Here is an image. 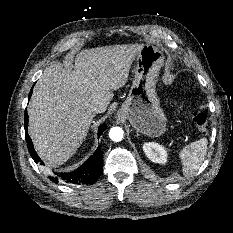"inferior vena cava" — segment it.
<instances>
[{
    "label": "inferior vena cava",
    "mask_w": 233,
    "mask_h": 233,
    "mask_svg": "<svg viewBox=\"0 0 233 233\" xmlns=\"http://www.w3.org/2000/svg\"><path fill=\"white\" fill-rule=\"evenodd\" d=\"M93 114H98V109H93Z\"/></svg>",
    "instance_id": "obj_1"
}]
</instances>
